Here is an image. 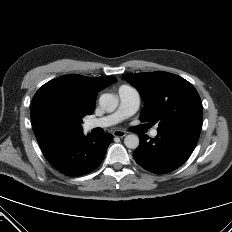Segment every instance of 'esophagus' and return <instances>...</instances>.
Here are the masks:
<instances>
[{
    "label": "esophagus",
    "instance_id": "34e87169",
    "mask_svg": "<svg viewBox=\"0 0 232 232\" xmlns=\"http://www.w3.org/2000/svg\"><path fill=\"white\" fill-rule=\"evenodd\" d=\"M113 136L122 138V137L126 136V132L123 130H115V131H113Z\"/></svg>",
    "mask_w": 232,
    "mask_h": 232
}]
</instances>
